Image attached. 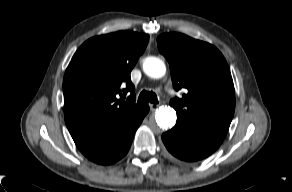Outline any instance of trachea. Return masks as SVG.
I'll list each match as a JSON object with an SVG mask.
<instances>
[{"mask_svg":"<svg viewBox=\"0 0 292 192\" xmlns=\"http://www.w3.org/2000/svg\"><path fill=\"white\" fill-rule=\"evenodd\" d=\"M158 103V99H157V95L154 92H149V91H145L143 90L139 97H138V103Z\"/></svg>","mask_w":292,"mask_h":192,"instance_id":"1","label":"trachea"}]
</instances>
